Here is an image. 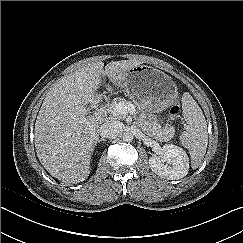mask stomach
<instances>
[{"label": "stomach", "instance_id": "stomach-1", "mask_svg": "<svg viewBox=\"0 0 243 243\" xmlns=\"http://www.w3.org/2000/svg\"><path fill=\"white\" fill-rule=\"evenodd\" d=\"M116 85L123 88L137 106L151 112L165 110L177 97V87L171 77L144 64L128 69Z\"/></svg>", "mask_w": 243, "mask_h": 243}]
</instances>
